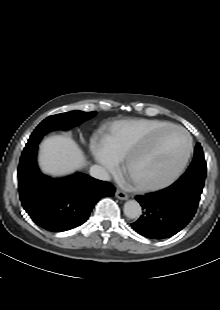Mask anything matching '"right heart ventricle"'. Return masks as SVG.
I'll use <instances>...</instances> for the list:
<instances>
[{
    "label": "right heart ventricle",
    "instance_id": "1",
    "mask_svg": "<svg viewBox=\"0 0 220 310\" xmlns=\"http://www.w3.org/2000/svg\"><path fill=\"white\" fill-rule=\"evenodd\" d=\"M170 125L158 120H138L116 125L112 134L101 141L102 149L116 162L158 130Z\"/></svg>",
    "mask_w": 220,
    "mask_h": 310
}]
</instances>
